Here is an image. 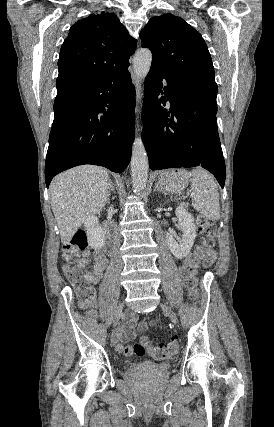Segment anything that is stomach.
Masks as SVG:
<instances>
[{"label": "stomach", "mask_w": 274, "mask_h": 427, "mask_svg": "<svg viewBox=\"0 0 274 427\" xmlns=\"http://www.w3.org/2000/svg\"><path fill=\"white\" fill-rule=\"evenodd\" d=\"M190 180L189 172L186 170H166L159 172L156 180V186L162 192H170V194H179L188 186Z\"/></svg>", "instance_id": "stomach-1"}]
</instances>
